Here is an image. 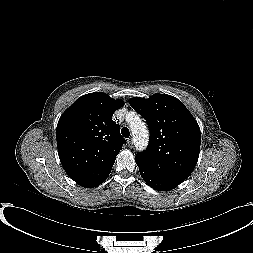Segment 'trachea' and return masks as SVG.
<instances>
[{
    "label": "trachea",
    "mask_w": 253,
    "mask_h": 253,
    "mask_svg": "<svg viewBox=\"0 0 253 253\" xmlns=\"http://www.w3.org/2000/svg\"><path fill=\"white\" fill-rule=\"evenodd\" d=\"M121 134L125 137V138H128L130 136V132H129V129L127 127H123L121 129Z\"/></svg>",
    "instance_id": "trachea-1"
}]
</instances>
